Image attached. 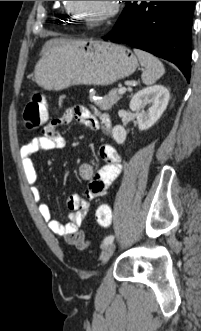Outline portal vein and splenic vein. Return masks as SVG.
Segmentation results:
<instances>
[{"label":"portal vein and splenic vein","mask_w":201,"mask_h":331,"mask_svg":"<svg viewBox=\"0 0 201 331\" xmlns=\"http://www.w3.org/2000/svg\"><path fill=\"white\" fill-rule=\"evenodd\" d=\"M125 92H126V88H125V87L120 88V89L118 90V93H119V94H124Z\"/></svg>","instance_id":"portal-vein-and-splenic-vein-1"}]
</instances>
